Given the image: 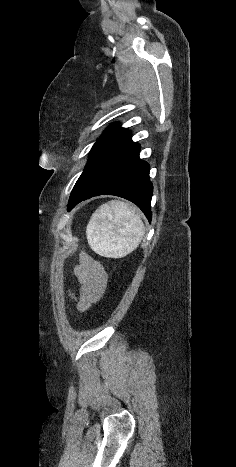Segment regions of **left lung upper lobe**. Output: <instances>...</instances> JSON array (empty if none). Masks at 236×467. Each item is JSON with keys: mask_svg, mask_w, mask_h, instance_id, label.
Wrapping results in <instances>:
<instances>
[{"mask_svg": "<svg viewBox=\"0 0 236 467\" xmlns=\"http://www.w3.org/2000/svg\"><path fill=\"white\" fill-rule=\"evenodd\" d=\"M126 131L128 130L125 128H120L117 124H112L105 130V133L97 140V142L92 147L88 163L85 169L83 170V173L77 180L71 192V196L86 181V179L89 177V175L91 174L101 157L104 155V153L107 151V149Z\"/></svg>", "mask_w": 236, "mask_h": 467, "instance_id": "5c2ea615", "label": "left lung upper lobe"}]
</instances>
